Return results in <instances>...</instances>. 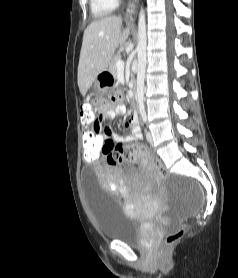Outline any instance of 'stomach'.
Segmentation results:
<instances>
[{
	"label": "stomach",
	"instance_id": "stomach-1",
	"mask_svg": "<svg viewBox=\"0 0 238 278\" xmlns=\"http://www.w3.org/2000/svg\"><path fill=\"white\" fill-rule=\"evenodd\" d=\"M115 81L114 74H111V69H100V74H95L94 84L90 85L91 99H106L107 89L113 86Z\"/></svg>",
	"mask_w": 238,
	"mask_h": 278
}]
</instances>
